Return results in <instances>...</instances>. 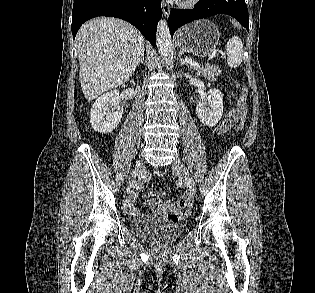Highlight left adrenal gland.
I'll use <instances>...</instances> for the list:
<instances>
[{"mask_svg": "<svg viewBox=\"0 0 315 293\" xmlns=\"http://www.w3.org/2000/svg\"><path fill=\"white\" fill-rule=\"evenodd\" d=\"M178 57H179V60H180V65H186L187 67H188V69H191L190 67H189V65L184 61V59L181 57V55L179 54L178 55Z\"/></svg>", "mask_w": 315, "mask_h": 293, "instance_id": "1", "label": "left adrenal gland"}]
</instances>
